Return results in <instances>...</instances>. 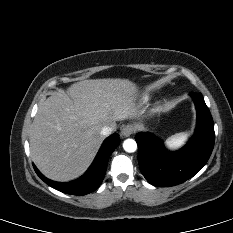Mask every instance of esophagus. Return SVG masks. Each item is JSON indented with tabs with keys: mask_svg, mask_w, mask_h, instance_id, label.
<instances>
[{
	"mask_svg": "<svg viewBox=\"0 0 233 233\" xmlns=\"http://www.w3.org/2000/svg\"><path fill=\"white\" fill-rule=\"evenodd\" d=\"M135 132V126L132 124H126L121 129V135L124 137H129Z\"/></svg>",
	"mask_w": 233,
	"mask_h": 233,
	"instance_id": "obj_1",
	"label": "esophagus"
}]
</instances>
